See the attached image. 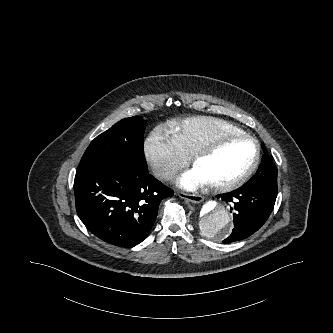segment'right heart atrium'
I'll return each instance as SVG.
<instances>
[{"label": "right heart atrium", "instance_id": "right-heart-atrium-1", "mask_svg": "<svg viewBox=\"0 0 333 333\" xmlns=\"http://www.w3.org/2000/svg\"><path fill=\"white\" fill-rule=\"evenodd\" d=\"M143 156L151 171L161 180L171 179L188 162L169 131L162 126L154 128L147 136Z\"/></svg>", "mask_w": 333, "mask_h": 333}]
</instances>
